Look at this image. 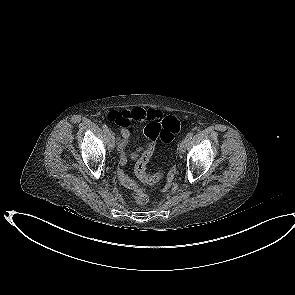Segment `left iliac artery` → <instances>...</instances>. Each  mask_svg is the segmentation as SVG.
<instances>
[{"label":"left iliac artery","mask_w":295,"mask_h":295,"mask_svg":"<svg viewBox=\"0 0 295 295\" xmlns=\"http://www.w3.org/2000/svg\"><path fill=\"white\" fill-rule=\"evenodd\" d=\"M193 132H189L187 135H186V138L188 139V140H191L192 139V137H193Z\"/></svg>","instance_id":"obj_1"}]
</instances>
